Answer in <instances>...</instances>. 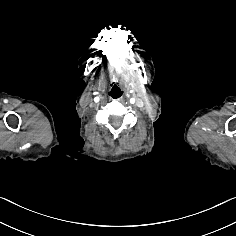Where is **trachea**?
Segmentation results:
<instances>
[{
	"instance_id": "obj_1",
	"label": "trachea",
	"mask_w": 236,
	"mask_h": 236,
	"mask_svg": "<svg viewBox=\"0 0 236 236\" xmlns=\"http://www.w3.org/2000/svg\"><path fill=\"white\" fill-rule=\"evenodd\" d=\"M122 95H123V89L119 85L112 86V88L109 91V96L112 99L120 98L122 97Z\"/></svg>"
}]
</instances>
